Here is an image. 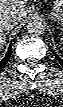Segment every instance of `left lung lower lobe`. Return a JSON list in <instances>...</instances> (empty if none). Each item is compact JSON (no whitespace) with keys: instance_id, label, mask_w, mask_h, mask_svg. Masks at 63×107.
<instances>
[{"instance_id":"left-lung-lower-lobe-1","label":"left lung lower lobe","mask_w":63,"mask_h":107,"mask_svg":"<svg viewBox=\"0 0 63 107\" xmlns=\"http://www.w3.org/2000/svg\"><path fill=\"white\" fill-rule=\"evenodd\" d=\"M56 59L59 61V63L63 66V60L60 59L56 54H55Z\"/></svg>"}]
</instances>
